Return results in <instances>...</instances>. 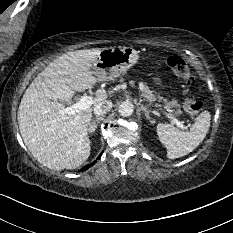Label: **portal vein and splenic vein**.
I'll list each match as a JSON object with an SVG mask.
<instances>
[{"label": "portal vein and splenic vein", "instance_id": "portal-vein-and-splenic-vein-1", "mask_svg": "<svg viewBox=\"0 0 233 233\" xmlns=\"http://www.w3.org/2000/svg\"><path fill=\"white\" fill-rule=\"evenodd\" d=\"M93 102V97L84 95L80 98L78 102H76L72 106L65 108L63 112L66 114H75L80 110H84L90 107L93 104ZM166 116L171 119L172 124H175L177 127L183 129V124L180 121H178L171 113H166Z\"/></svg>", "mask_w": 233, "mask_h": 233}]
</instances>
